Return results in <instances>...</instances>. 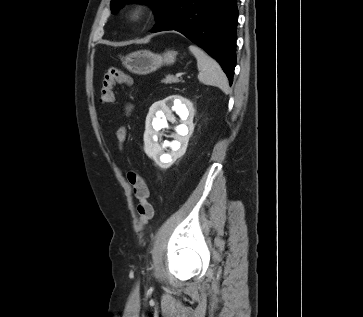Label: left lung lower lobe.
<instances>
[{
    "instance_id": "left-lung-lower-lobe-1",
    "label": "left lung lower lobe",
    "mask_w": 363,
    "mask_h": 317,
    "mask_svg": "<svg viewBox=\"0 0 363 317\" xmlns=\"http://www.w3.org/2000/svg\"><path fill=\"white\" fill-rule=\"evenodd\" d=\"M237 19L236 0H169L151 32L176 30L184 34L220 63L232 84Z\"/></svg>"
}]
</instances>
